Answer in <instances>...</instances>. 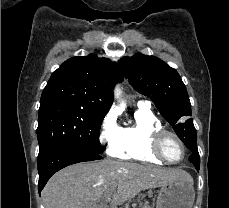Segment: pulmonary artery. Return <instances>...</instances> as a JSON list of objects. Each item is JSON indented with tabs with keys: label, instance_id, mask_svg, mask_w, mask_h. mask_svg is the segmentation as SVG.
Instances as JSON below:
<instances>
[{
	"label": "pulmonary artery",
	"instance_id": "pulmonary-artery-1",
	"mask_svg": "<svg viewBox=\"0 0 229 208\" xmlns=\"http://www.w3.org/2000/svg\"><path fill=\"white\" fill-rule=\"evenodd\" d=\"M139 104L142 106L150 107L149 102H147V101H140Z\"/></svg>",
	"mask_w": 229,
	"mask_h": 208
}]
</instances>
